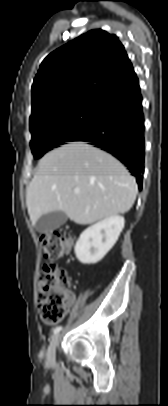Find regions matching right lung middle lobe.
<instances>
[{
	"label": "right lung middle lobe",
	"mask_w": 168,
	"mask_h": 406,
	"mask_svg": "<svg viewBox=\"0 0 168 406\" xmlns=\"http://www.w3.org/2000/svg\"><path fill=\"white\" fill-rule=\"evenodd\" d=\"M103 107V99L84 100L30 123L34 158L89 130L102 118Z\"/></svg>",
	"instance_id": "right-lung-middle-lobe-1"
}]
</instances>
